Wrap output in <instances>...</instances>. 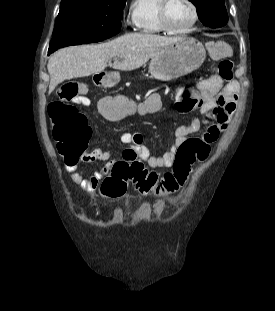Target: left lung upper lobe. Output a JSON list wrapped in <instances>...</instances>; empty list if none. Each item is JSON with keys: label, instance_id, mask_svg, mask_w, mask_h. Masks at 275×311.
<instances>
[{"label": "left lung upper lobe", "instance_id": "5c2ea615", "mask_svg": "<svg viewBox=\"0 0 275 311\" xmlns=\"http://www.w3.org/2000/svg\"><path fill=\"white\" fill-rule=\"evenodd\" d=\"M198 9L200 21L211 28H219L228 22L225 0H189Z\"/></svg>", "mask_w": 275, "mask_h": 311}]
</instances>
